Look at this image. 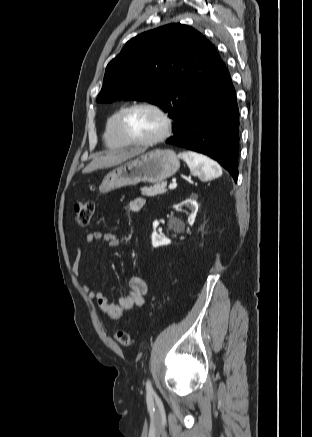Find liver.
I'll return each instance as SVG.
<instances>
[{
    "label": "liver",
    "instance_id": "6515ba94",
    "mask_svg": "<svg viewBox=\"0 0 312 437\" xmlns=\"http://www.w3.org/2000/svg\"><path fill=\"white\" fill-rule=\"evenodd\" d=\"M141 149L120 150L109 152L105 155L95 156L93 160L83 169L82 173H90L98 169L109 168L119 165L143 153Z\"/></svg>",
    "mask_w": 312,
    "mask_h": 437
}]
</instances>
